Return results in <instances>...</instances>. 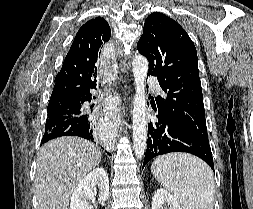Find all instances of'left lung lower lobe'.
<instances>
[{"instance_id":"left-lung-lower-lobe-1","label":"left lung lower lobe","mask_w":253,"mask_h":209,"mask_svg":"<svg viewBox=\"0 0 253 209\" xmlns=\"http://www.w3.org/2000/svg\"><path fill=\"white\" fill-rule=\"evenodd\" d=\"M152 106L156 110L154 104ZM157 118V122L148 124L149 134L143 168L156 156L170 152H187L204 160L214 171V163L208 141L180 129L174 123L158 114Z\"/></svg>"}]
</instances>
